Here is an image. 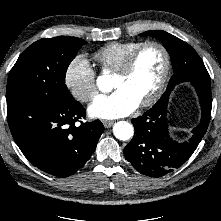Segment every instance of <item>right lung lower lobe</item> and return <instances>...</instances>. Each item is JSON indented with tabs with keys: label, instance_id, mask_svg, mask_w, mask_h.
<instances>
[{
	"label": "right lung lower lobe",
	"instance_id": "98d812e1",
	"mask_svg": "<svg viewBox=\"0 0 221 221\" xmlns=\"http://www.w3.org/2000/svg\"><path fill=\"white\" fill-rule=\"evenodd\" d=\"M85 113L73 97L63 95L51 100L27 96L7 101L8 124L18 147L34 166L57 177L78 171L104 131L99 120L76 127Z\"/></svg>",
	"mask_w": 221,
	"mask_h": 221
}]
</instances>
